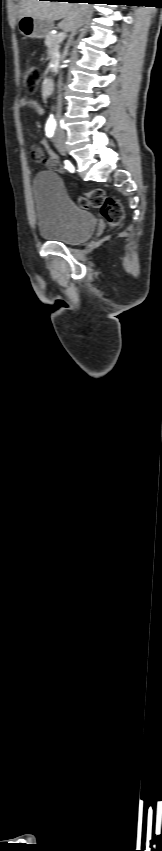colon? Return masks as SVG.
Segmentation results:
<instances>
[{
	"mask_svg": "<svg viewBox=\"0 0 162 851\" xmlns=\"http://www.w3.org/2000/svg\"><path fill=\"white\" fill-rule=\"evenodd\" d=\"M39 71L34 67H27L24 72V82L29 91H34L39 81ZM78 205L83 209L95 208L101 211L102 216L111 225H116L123 219V208L120 202L106 194L102 188H95L85 196L78 198Z\"/></svg>",
	"mask_w": 162,
	"mask_h": 851,
	"instance_id": "5ec220e1",
	"label": "colon"
}]
</instances>
